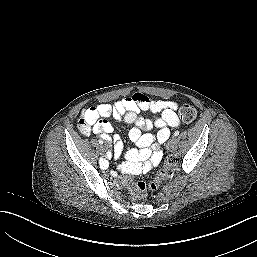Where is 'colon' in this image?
Returning <instances> with one entry per match:
<instances>
[{
	"instance_id": "5ec220e1",
	"label": "colon",
	"mask_w": 257,
	"mask_h": 257,
	"mask_svg": "<svg viewBox=\"0 0 257 257\" xmlns=\"http://www.w3.org/2000/svg\"><path fill=\"white\" fill-rule=\"evenodd\" d=\"M179 117L184 123H192L197 117L196 109L191 105H184L179 110ZM176 164V159L174 157H169L167 159V167ZM166 175V170L160 171L157 176L150 183V188L155 190L160 186V183L164 176ZM122 184L126 187L130 194L129 196L135 200L143 199L146 195V183L143 181H134L129 175H125L122 179Z\"/></svg>"
}]
</instances>
